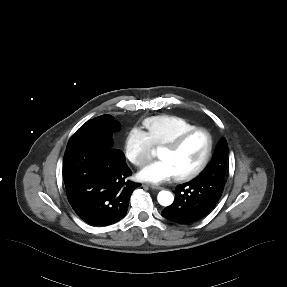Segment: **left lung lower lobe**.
I'll return each mask as SVG.
<instances>
[{"instance_id":"obj_1","label":"left lung lower lobe","mask_w":287,"mask_h":287,"mask_svg":"<svg viewBox=\"0 0 287 287\" xmlns=\"http://www.w3.org/2000/svg\"><path fill=\"white\" fill-rule=\"evenodd\" d=\"M224 181L214 179L210 185H201L193 180L178 185L174 202L162 211V215L174 222L186 224L208 214L221 197Z\"/></svg>"}]
</instances>
